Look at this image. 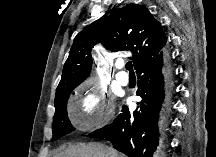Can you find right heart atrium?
Segmentation results:
<instances>
[{"instance_id": "d8ad5b80", "label": "right heart atrium", "mask_w": 216, "mask_h": 157, "mask_svg": "<svg viewBox=\"0 0 216 157\" xmlns=\"http://www.w3.org/2000/svg\"><path fill=\"white\" fill-rule=\"evenodd\" d=\"M78 92L79 110L73 117V123L78 129L82 131L96 129L113 118L115 106L97 86L85 83Z\"/></svg>"}]
</instances>
